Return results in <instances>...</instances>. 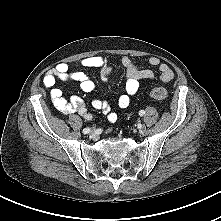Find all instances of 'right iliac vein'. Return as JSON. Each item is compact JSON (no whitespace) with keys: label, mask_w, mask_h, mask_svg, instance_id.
Instances as JSON below:
<instances>
[{"label":"right iliac vein","mask_w":221,"mask_h":221,"mask_svg":"<svg viewBox=\"0 0 221 221\" xmlns=\"http://www.w3.org/2000/svg\"><path fill=\"white\" fill-rule=\"evenodd\" d=\"M89 133L92 134V135H95V134H96L95 130H90Z\"/></svg>","instance_id":"obj_1"}]
</instances>
